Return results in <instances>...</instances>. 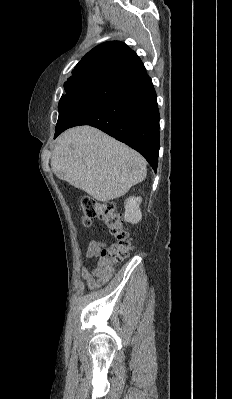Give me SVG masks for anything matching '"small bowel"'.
I'll use <instances>...</instances> for the list:
<instances>
[{"instance_id": "1", "label": "small bowel", "mask_w": 232, "mask_h": 399, "mask_svg": "<svg viewBox=\"0 0 232 399\" xmlns=\"http://www.w3.org/2000/svg\"><path fill=\"white\" fill-rule=\"evenodd\" d=\"M97 255V247L94 241H90L87 246L86 258L93 259ZM81 276L86 280L88 292H92L95 286V272L89 265H81Z\"/></svg>"}]
</instances>
